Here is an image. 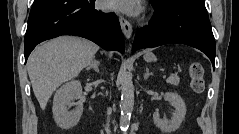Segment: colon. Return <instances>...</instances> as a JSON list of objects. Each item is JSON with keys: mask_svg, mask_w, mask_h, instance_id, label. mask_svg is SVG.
<instances>
[{"mask_svg": "<svg viewBox=\"0 0 239 134\" xmlns=\"http://www.w3.org/2000/svg\"><path fill=\"white\" fill-rule=\"evenodd\" d=\"M191 88L194 92L200 93L204 88V69L199 62H192L189 66Z\"/></svg>", "mask_w": 239, "mask_h": 134, "instance_id": "colon-1", "label": "colon"}]
</instances>
